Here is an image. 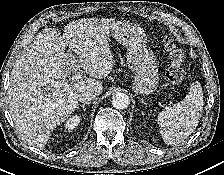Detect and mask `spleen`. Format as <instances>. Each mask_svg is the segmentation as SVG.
I'll list each match as a JSON object with an SVG mask.
<instances>
[{"label": "spleen", "instance_id": "1", "mask_svg": "<svg viewBox=\"0 0 224 175\" xmlns=\"http://www.w3.org/2000/svg\"><path fill=\"white\" fill-rule=\"evenodd\" d=\"M203 103L202 87L196 81L184 100L158 114L160 133L166 144H178L191 135L201 118Z\"/></svg>", "mask_w": 224, "mask_h": 175}]
</instances>
